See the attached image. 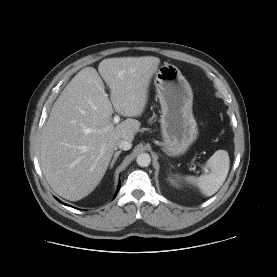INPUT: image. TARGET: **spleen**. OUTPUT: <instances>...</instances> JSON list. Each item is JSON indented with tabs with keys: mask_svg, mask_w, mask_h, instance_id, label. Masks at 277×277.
<instances>
[{
	"mask_svg": "<svg viewBox=\"0 0 277 277\" xmlns=\"http://www.w3.org/2000/svg\"><path fill=\"white\" fill-rule=\"evenodd\" d=\"M206 166L210 169L209 174L200 177L187 176L186 181L200 188L205 196L214 195L225 182L230 160L226 150H217L207 161Z\"/></svg>",
	"mask_w": 277,
	"mask_h": 277,
	"instance_id": "spleen-1",
	"label": "spleen"
}]
</instances>
